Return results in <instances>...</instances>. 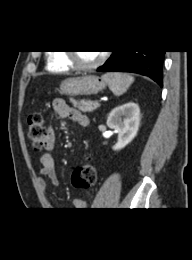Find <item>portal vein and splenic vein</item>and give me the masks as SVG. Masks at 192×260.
Here are the masks:
<instances>
[{"label": "portal vein and splenic vein", "instance_id": "1", "mask_svg": "<svg viewBox=\"0 0 192 260\" xmlns=\"http://www.w3.org/2000/svg\"><path fill=\"white\" fill-rule=\"evenodd\" d=\"M93 106H94V107H100V103H99V102H95V103L93 104Z\"/></svg>", "mask_w": 192, "mask_h": 260}]
</instances>
